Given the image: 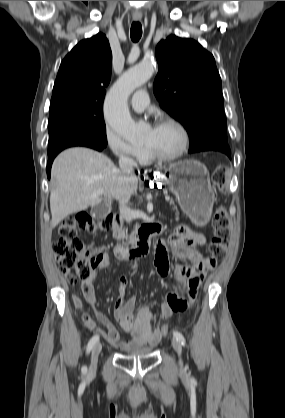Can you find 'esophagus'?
Here are the masks:
<instances>
[{
  "mask_svg": "<svg viewBox=\"0 0 285 418\" xmlns=\"http://www.w3.org/2000/svg\"><path fill=\"white\" fill-rule=\"evenodd\" d=\"M133 19H134L135 21H140V20L142 19V15H141V14H134V15H133Z\"/></svg>",
  "mask_w": 285,
  "mask_h": 418,
  "instance_id": "34e87169",
  "label": "esophagus"
}]
</instances>
